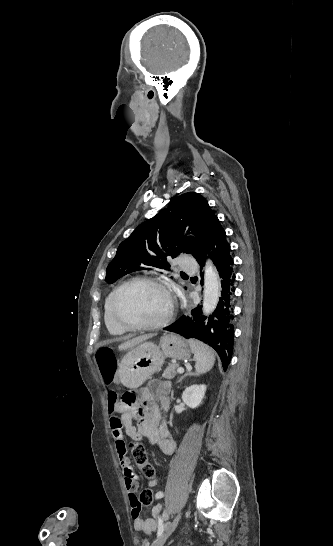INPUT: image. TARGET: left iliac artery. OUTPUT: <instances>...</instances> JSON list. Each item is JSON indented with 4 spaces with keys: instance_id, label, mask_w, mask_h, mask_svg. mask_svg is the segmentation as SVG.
I'll list each match as a JSON object with an SVG mask.
<instances>
[{
    "instance_id": "1",
    "label": "left iliac artery",
    "mask_w": 333,
    "mask_h": 546,
    "mask_svg": "<svg viewBox=\"0 0 333 546\" xmlns=\"http://www.w3.org/2000/svg\"><path fill=\"white\" fill-rule=\"evenodd\" d=\"M170 522H167L169 524ZM164 531V524L162 520H159L157 536H160Z\"/></svg>"
}]
</instances>
